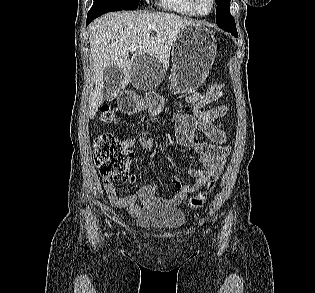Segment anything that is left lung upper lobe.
<instances>
[{
  "instance_id": "5c2ea615",
  "label": "left lung upper lobe",
  "mask_w": 315,
  "mask_h": 293,
  "mask_svg": "<svg viewBox=\"0 0 315 293\" xmlns=\"http://www.w3.org/2000/svg\"><path fill=\"white\" fill-rule=\"evenodd\" d=\"M216 8V23L223 30L230 32L235 37L238 36L235 25V20L230 14V0H215Z\"/></svg>"
}]
</instances>
